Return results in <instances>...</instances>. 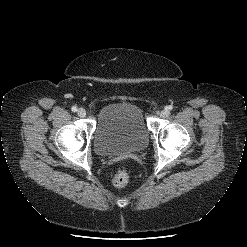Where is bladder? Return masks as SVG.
Instances as JSON below:
<instances>
[{
	"instance_id": "bladder-1",
	"label": "bladder",
	"mask_w": 247,
	"mask_h": 247,
	"mask_svg": "<svg viewBox=\"0 0 247 247\" xmlns=\"http://www.w3.org/2000/svg\"><path fill=\"white\" fill-rule=\"evenodd\" d=\"M149 129L142 108L134 102L118 101L98 114L93 136L95 151L102 156L143 150Z\"/></svg>"
}]
</instances>
